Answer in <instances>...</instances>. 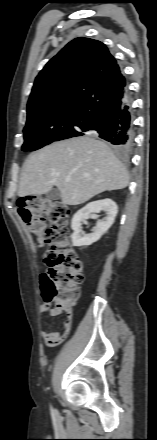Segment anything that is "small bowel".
Returning <instances> with one entry per match:
<instances>
[{
  "instance_id": "c3829d8e",
  "label": "small bowel",
  "mask_w": 157,
  "mask_h": 440,
  "mask_svg": "<svg viewBox=\"0 0 157 440\" xmlns=\"http://www.w3.org/2000/svg\"><path fill=\"white\" fill-rule=\"evenodd\" d=\"M39 309L44 314L53 315L51 306L48 303H43L42 305H40ZM70 329H71V320H68L64 322L63 332L59 333L56 331H52L50 329H46L45 331L42 332V336L48 346H56L64 341V339L69 334Z\"/></svg>"
}]
</instances>
